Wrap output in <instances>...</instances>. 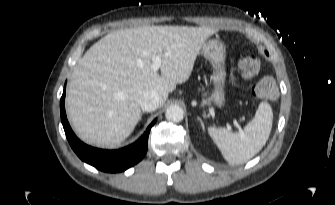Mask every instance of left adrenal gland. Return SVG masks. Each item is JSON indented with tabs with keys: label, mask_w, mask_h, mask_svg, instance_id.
I'll return each mask as SVG.
<instances>
[{
	"label": "left adrenal gland",
	"mask_w": 335,
	"mask_h": 205,
	"mask_svg": "<svg viewBox=\"0 0 335 205\" xmlns=\"http://www.w3.org/2000/svg\"><path fill=\"white\" fill-rule=\"evenodd\" d=\"M197 119L200 121V124H201V127H202V130L205 131V127H204V122L202 120L201 117L197 116Z\"/></svg>",
	"instance_id": "obj_1"
}]
</instances>
